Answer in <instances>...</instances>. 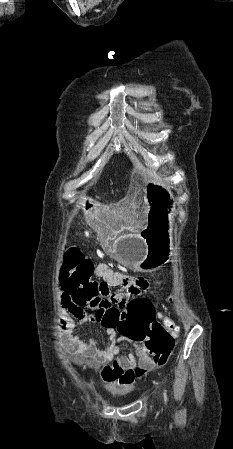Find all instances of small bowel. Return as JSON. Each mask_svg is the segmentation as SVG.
Listing matches in <instances>:
<instances>
[{
    "instance_id": "c3829d8e",
    "label": "small bowel",
    "mask_w": 233,
    "mask_h": 449,
    "mask_svg": "<svg viewBox=\"0 0 233 449\" xmlns=\"http://www.w3.org/2000/svg\"><path fill=\"white\" fill-rule=\"evenodd\" d=\"M95 276L99 279L98 306L101 308L126 306L127 301H140L134 299L142 288H149V280L143 274H122L112 270L106 263H98L95 267ZM61 282H63L61 278ZM108 286L114 287L112 291ZM139 291V292H138ZM59 293L63 308L81 325L97 323L95 316L84 309L76 307L69 294L64 290L63 283L59 287ZM117 301V302H116ZM155 319H159L163 329L169 333L178 331V327L168 316L156 312ZM75 323L68 320L65 326V335L70 353L79 357L80 361L95 367L102 379L111 387L123 390L131 387L136 380L141 379L146 373L156 368L163 367L169 355H154L149 349H135L124 355H119L121 337L116 328H105L109 337L106 347L100 348L90 339L84 341L73 333Z\"/></svg>"
}]
</instances>
